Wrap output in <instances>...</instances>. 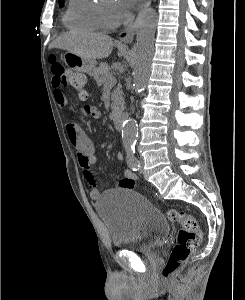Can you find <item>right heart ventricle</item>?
<instances>
[{
  "label": "right heart ventricle",
  "mask_w": 245,
  "mask_h": 300,
  "mask_svg": "<svg viewBox=\"0 0 245 300\" xmlns=\"http://www.w3.org/2000/svg\"><path fill=\"white\" fill-rule=\"evenodd\" d=\"M65 26L74 31L94 32L103 28L100 6L95 0H69Z\"/></svg>",
  "instance_id": "right-heart-ventricle-1"
}]
</instances>
